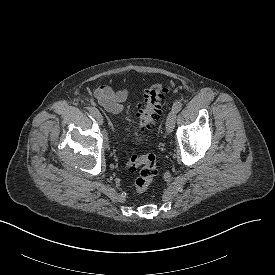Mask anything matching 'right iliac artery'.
I'll use <instances>...</instances> for the list:
<instances>
[{"mask_svg":"<svg viewBox=\"0 0 275 275\" xmlns=\"http://www.w3.org/2000/svg\"><path fill=\"white\" fill-rule=\"evenodd\" d=\"M89 112H90V114H91L93 117H95V115L97 114L98 110H97L95 107H91V108L89 109Z\"/></svg>","mask_w":275,"mask_h":275,"instance_id":"82829eb1","label":"right iliac artery"}]
</instances>
